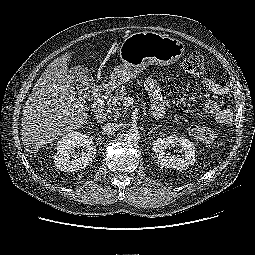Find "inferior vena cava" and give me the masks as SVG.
<instances>
[{
    "label": "inferior vena cava",
    "mask_w": 255,
    "mask_h": 255,
    "mask_svg": "<svg viewBox=\"0 0 255 255\" xmlns=\"http://www.w3.org/2000/svg\"><path fill=\"white\" fill-rule=\"evenodd\" d=\"M119 126L120 125L117 124V123H107L103 127V133L108 134V135H112V134H114L115 132L118 131Z\"/></svg>",
    "instance_id": "obj_1"
}]
</instances>
